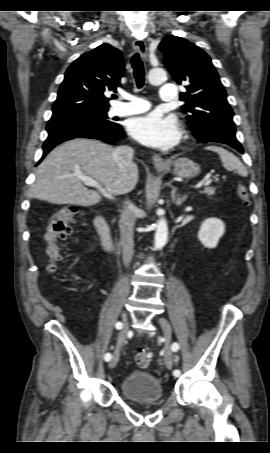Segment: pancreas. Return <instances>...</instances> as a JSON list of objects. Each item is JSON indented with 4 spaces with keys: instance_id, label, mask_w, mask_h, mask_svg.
<instances>
[{
    "instance_id": "pancreas-1",
    "label": "pancreas",
    "mask_w": 270,
    "mask_h": 453,
    "mask_svg": "<svg viewBox=\"0 0 270 453\" xmlns=\"http://www.w3.org/2000/svg\"><path fill=\"white\" fill-rule=\"evenodd\" d=\"M201 193L202 194H207L208 196H212V195L215 194V188L214 187H207Z\"/></svg>"
}]
</instances>
